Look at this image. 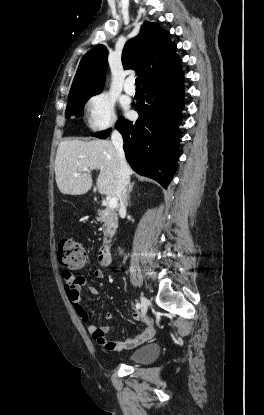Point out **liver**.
Here are the masks:
<instances>
[{"mask_svg":"<svg viewBox=\"0 0 264 415\" xmlns=\"http://www.w3.org/2000/svg\"><path fill=\"white\" fill-rule=\"evenodd\" d=\"M100 170L97 190L109 197L116 196L117 177L120 167L114 145L108 140H65L58 145L55 159L57 186L62 194H86L92 186L90 171ZM129 167V166H128ZM133 171L129 167V175Z\"/></svg>","mask_w":264,"mask_h":415,"instance_id":"6515ba94","label":"liver"}]
</instances>
